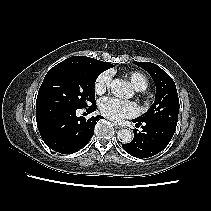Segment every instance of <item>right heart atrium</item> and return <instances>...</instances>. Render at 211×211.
I'll return each instance as SVG.
<instances>
[{"label": "right heart atrium", "instance_id": "obj_1", "mask_svg": "<svg viewBox=\"0 0 211 211\" xmlns=\"http://www.w3.org/2000/svg\"><path fill=\"white\" fill-rule=\"evenodd\" d=\"M112 75L109 71L102 72L95 80L94 90L97 94H104L110 87Z\"/></svg>", "mask_w": 211, "mask_h": 211}]
</instances>
